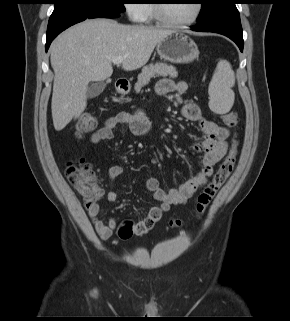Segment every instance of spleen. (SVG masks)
<instances>
[{
  "instance_id": "1",
  "label": "spleen",
  "mask_w": 290,
  "mask_h": 321,
  "mask_svg": "<svg viewBox=\"0 0 290 321\" xmlns=\"http://www.w3.org/2000/svg\"><path fill=\"white\" fill-rule=\"evenodd\" d=\"M235 75L230 63L221 60L217 64L212 80L209 84V107L217 114H225L230 111L234 103Z\"/></svg>"
}]
</instances>
